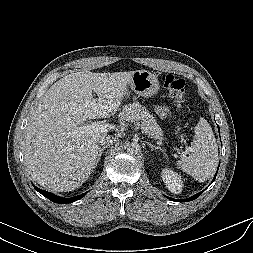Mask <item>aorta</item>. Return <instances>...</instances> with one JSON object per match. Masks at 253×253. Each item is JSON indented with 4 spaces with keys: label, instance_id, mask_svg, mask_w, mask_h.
<instances>
[{
    "label": "aorta",
    "instance_id": "obj_1",
    "mask_svg": "<svg viewBox=\"0 0 253 253\" xmlns=\"http://www.w3.org/2000/svg\"><path fill=\"white\" fill-rule=\"evenodd\" d=\"M141 152V146L138 143H131L127 147V153L129 155H139Z\"/></svg>",
    "mask_w": 253,
    "mask_h": 253
}]
</instances>
